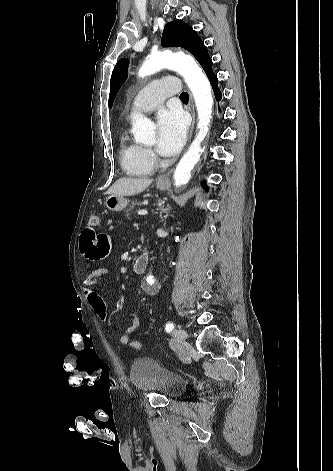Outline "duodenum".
I'll use <instances>...</instances> for the list:
<instances>
[{
  "label": "duodenum",
  "instance_id": "1",
  "mask_svg": "<svg viewBox=\"0 0 333 471\" xmlns=\"http://www.w3.org/2000/svg\"><path fill=\"white\" fill-rule=\"evenodd\" d=\"M149 263V254L144 252L139 257L135 259L132 264V269L135 273H142L146 270Z\"/></svg>",
  "mask_w": 333,
  "mask_h": 471
}]
</instances>
